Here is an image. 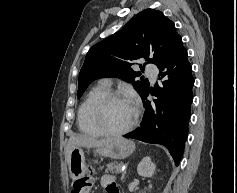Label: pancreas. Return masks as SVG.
<instances>
[{
	"label": "pancreas",
	"instance_id": "cf45deb5",
	"mask_svg": "<svg viewBox=\"0 0 237 193\" xmlns=\"http://www.w3.org/2000/svg\"><path fill=\"white\" fill-rule=\"evenodd\" d=\"M123 167V163L122 162H113V163H109L107 164V168L105 170V172H111L112 174H118L121 169Z\"/></svg>",
	"mask_w": 237,
	"mask_h": 193
}]
</instances>
